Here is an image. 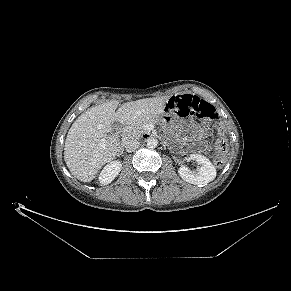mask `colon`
<instances>
[{"label": "colon", "mask_w": 291, "mask_h": 291, "mask_svg": "<svg viewBox=\"0 0 291 291\" xmlns=\"http://www.w3.org/2000/svg\"><path fill=\"white\" fill-rule=\"evenodd\" d=\"M167 109L180 117L197 116L209 121H215L218 118L215 107L198 97L174 96L169 100ZM215 151L214 163L217 167H222L226 162L227 142L219 139L215 144Z\"/></svg>", "instance_id": "obj_1"}]
</instances>
